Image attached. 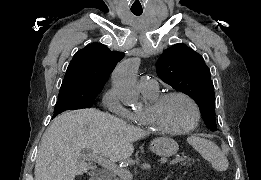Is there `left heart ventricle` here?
<instances>
[{"label":"left heart ventricle","mask_w":261,"mask_h":180,"mask_svg":"<svg viewBox=\"0 0 261 180\" xmlns=\"http://www.w3.org/2000/svg\"><path fill=\"white\" fill-rule=\"evenodd\" d=\"M136 113L161 135L182 132L191 125L194 119L192 106L181 97H171L154 110H148V104H146Z\"/></svg>","instance_id":"obj_1"}]
</instances>
